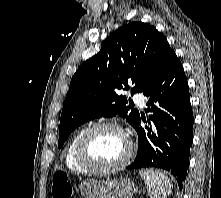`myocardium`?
Segmentation results:
<instances>
[{
    "instance_id": "myocardium-1",
    "label": "myocardium",
    "mask_w": 221,
    "mask_h": 198,
    "mask_svg": "<svg viewBox=\"0 0 221 198\" xmlns=\"http://www.w3.org/2000/svg\"><path fill=\"white\" fill-rule=\"evenodd\" d=\"M102 129H111L118 131L123 135L127 143V150L122 158L117 164L111 166H100L94 163L89 155L87 150L88 141L93 133ZM133 154V144L125 130L118 124L112 122H98L90 125L83 130L79 136L76 144V158L81 166L87 169L89 172L98 173V174H109L117 172L123 169L131 160Z\"/></svg>"
}]
</instances>
